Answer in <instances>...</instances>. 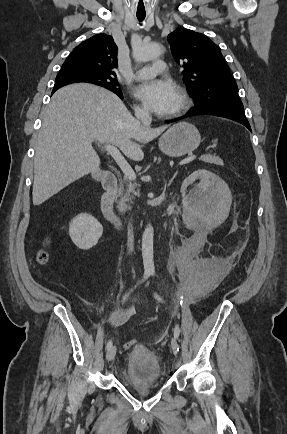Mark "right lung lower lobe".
I'll return each mask as SVG.
<instances>
[{
  "label": "right lung lower lobe",
  "instance_id": "right-lung-lower-lobe-1",
  "mask_svg": "<svg viewBox=\"0 0 287 434\" xmlns=\"http://www.w3.org/2000/svg\"><path fill=\"white\" fill-rule=\"evenodd\" d=\"M121 99H123V95H118Z\"/></svg>",
  "mask_w": 287,
  "mask_h": 434
}]
</instances>
